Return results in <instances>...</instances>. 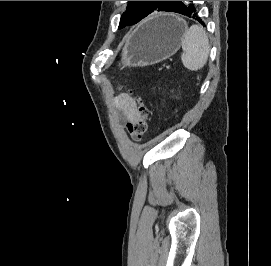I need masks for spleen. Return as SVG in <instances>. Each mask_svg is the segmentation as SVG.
<instances>
[{
  "label": "spleen",
  "instance_id": "obj_1",
  "mask_svg": "<svg viewBox=\"0 0 271 266\" xmlns=\"http://www.w3.org/2000/svg\"><path fill=\"white\" fill-rule=\"evenodd\" d=\"M181 60L183 65L191 71L200 70L207 62L210 44L202 26L192 25L182 39Z\"/></svg>",
  "mask_w": 271,
  "mask_h": 266
}]
</instances>
